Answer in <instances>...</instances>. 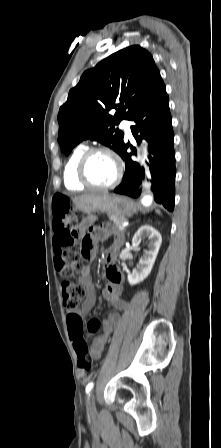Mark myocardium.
<instances>
[{
  "instance_id": "f54148a6",
  "label": "myocardium",
  "mask_w": 221,
  "mask_h": 448,
  "mask_svg": "<svg viewBox=\"0 0 221 448\" xmlns=\"http://www.w3.org/2000/svg\"><path fill=\"white\" fill-rule=\"evenodd\" d=\"M98 154L109 155L110 157L113 158L116 164V175L112 180V182H110L107 185L95 184L94 182L91 181L87 173L89 161L91 160L92 157ZM123 173H124V166L120 156L117 154V152L108 147H95L88 149L80 157L76 167V177L79 180V182H81L83 185L87 187L96 189H112L116 187L120 183L123 177Z\"/></svg>"
}]
</instances>
